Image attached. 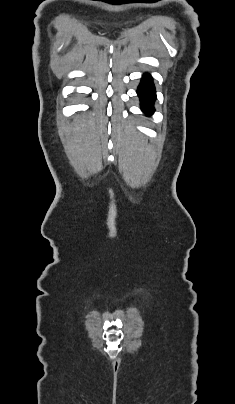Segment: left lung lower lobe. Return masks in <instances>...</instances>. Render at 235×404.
<instances>
[{"label":"left lung lower lobe","mask_w":235,"mask_h":404,"mask_svg":"<svg viewBox=\"0 0 235 404\" xmlns=\"http://www.w3.org/2000/svg\"><path fill=\"white\" fill-rule=\"evenodd\" d=\"M141 100L142 110L146 114H152L154 111L153 102L156 98L155 88L150 76L145 75L137 90Z\"/></svg>","instance_id":"0a47b994"}]
</instances>
